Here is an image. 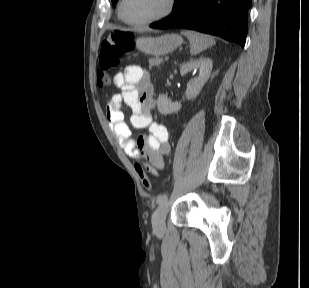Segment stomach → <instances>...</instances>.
Instances as JSON below:
<instances>
[{
	"mask_svg": "<svg viewBox=\"0 0 309 288\" xmlns=\"http://www.w3.org/2000/svg\"><path fill=\"white\" fill-rule=\"evenodd\" d=\"M182 43L183 39L177 34H166L159 37H142L136 41L137 48L140 51L156 57L170 53Z\"/></svg>",
	"mask_w": 309,
	"mask_h": 288,
	"instance_id": "0dacf381",
	"label": "stomach"
}]
</instances>
